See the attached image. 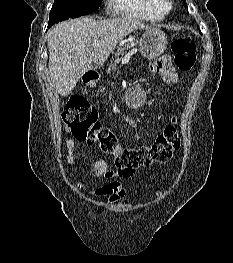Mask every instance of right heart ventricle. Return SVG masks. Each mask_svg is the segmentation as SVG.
I'll return each instance as SVG.
<instances>
[{"label": "right heart ventricle", "instance_id": "right-heart-ventricle-1", "mask_svg": "<svg viewBox=\"0 0 233 263\" xmlns=\"http://www.w3.org/2000/svg\"><path fill=\"white\" fill-rule=\"evenodd\" d=\"M120 13L141 20H161L166 15L161 0H114Z\"/></svg>", "mask_w": 233, "mask_h": 263}]
</instances>
